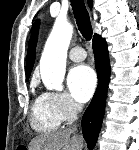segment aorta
<instances>
[{"label":"aorta","mask_w":139,"mask_h":150,"mask_svg":"<svg viewBox=\"0 0 139 150\" xmlns=\"http://www.w3.org/2000/svg\"><path fill=\"white\" fill-rule=\"evenodd\" d=\"M73 34V26L57 20L45 44L41 60L40 74L49 90L61 91L65 76L68 47Z\"/></svg>","instance_id":"obj_1"}]
</instances>
